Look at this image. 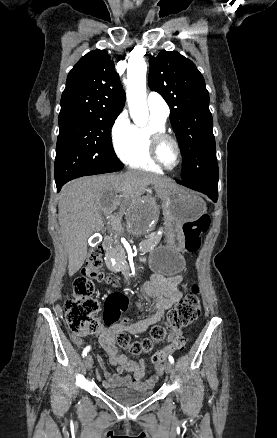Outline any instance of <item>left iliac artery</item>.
<instances>
[{
  "label": "left iliac artery",
  "mask_w": 277,
  "mask_h": 438,
  "mask_svg": "<svg viewBox=\"0 0 277 438\" xmlns=\"http://www.w3.org/2000/svg\"><path fill=\"white\" fill-rule=\"evenodd\" d=\"M169 361L173 364L174 363V358L171 356V355H169Z\"/></svg>",
  "instance_id": "obj_1"
}]
</instances>
